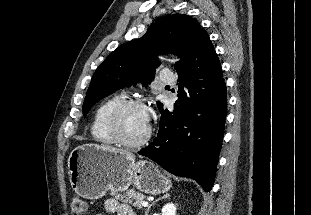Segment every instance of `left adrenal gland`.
Here are the masks:
<instances>
[{
	"mask_svg": "<svg viewBox=\"0 0 311 215\" xmlns=\"http://www.w3.org/2000/svg\"><path fill=\"white\" fill-rule=\"evenodd\" d=\"M169 196H170L169 194H165L164 196H162V197L156 199L155 201H153V202L147 207V209H146V211H145V215H148V212H149L151 206H153L156 202H158V201H160V200H162V199H165V198H169Z\"/></svg>",
	"mask_w": 311,
	"mask_h": 215,
	"instance_id": "obj_1",
	"label": "left adrenal gland"
}]
</instances>
